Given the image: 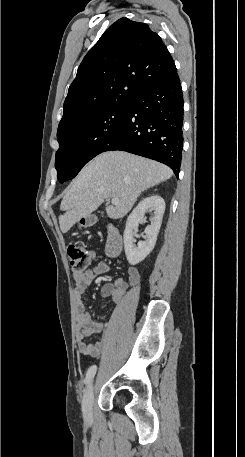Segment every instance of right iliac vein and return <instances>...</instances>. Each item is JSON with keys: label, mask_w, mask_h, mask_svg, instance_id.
Here are the masks:
<instances>
[{"label": "right iliac vein", "mask_w": 245, "mask_h": 457, "mask_svg": "<svg viewBox=\"0 0 245 457\" xmlns=\"http://www.w3.org/2000/svg\"><path fill=\"white\" fill-rule=\"evenodd\" d=\"M94 383L91 382L83 398L82 411L86 421L92 420V404L94 400Z\"/></svg>", "instance_id": "obj_1"}]
</instances>
